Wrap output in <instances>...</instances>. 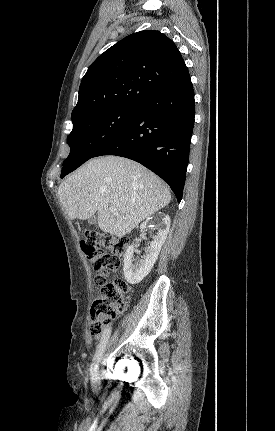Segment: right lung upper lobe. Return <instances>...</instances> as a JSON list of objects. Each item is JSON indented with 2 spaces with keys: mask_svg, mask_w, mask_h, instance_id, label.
Segmentation results:
<instances>
[{
  "mask_svg": "<svg viewBox=\"0 0 275 431\" xmlns=\"http://www.w3.org/2000/svg\"><path fill=\"white\" fill-rule=\"evenodd\" d=\"M188 73L173 41L155 30L133 33L101 54L82 78L72 122L97 110L138 107Z\"/></svg>",
  "mask_w": 275,
  "mask_h": 431,
  "instance_id": "right-lung-upper-lobe-1",
  "label": "right lung upper lobe"
}]
</instances>
